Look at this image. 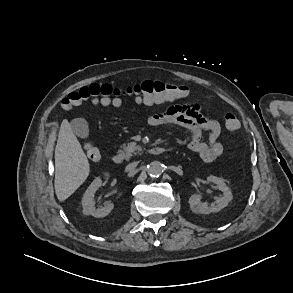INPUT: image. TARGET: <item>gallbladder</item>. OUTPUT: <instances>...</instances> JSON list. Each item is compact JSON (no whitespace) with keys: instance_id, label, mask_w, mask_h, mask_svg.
Masks as SVG:
<instances>
[{"instance_id":"1","label":"gallbladder","mask_w":293,"mask_h":293,"mask_svg":"<svg viewBox=\"0 0 293 293\" xmlns=\"http://www.w3.org/2000/svg\"><path fill=\"white\" fill-rule=\"evenodd\" d=\"M73 132L80 138L89 136V126L84 118H75L70 123Z\"/></svg>"}]
</instances>
